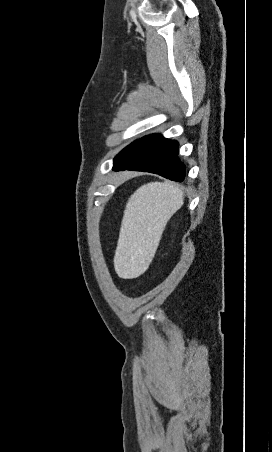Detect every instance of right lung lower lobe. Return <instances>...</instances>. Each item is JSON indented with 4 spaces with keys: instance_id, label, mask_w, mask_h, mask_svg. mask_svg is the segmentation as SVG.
Returning <instances> with one entry per match:
<instances>
[{
    "instance_id": "1",
    "label": "right lung lower lobe",
    "mask_w": 272,
    "mask_h": 452,
    "mask_svg": "<svg viewBox=\"0 0 272 452\" xmlns=\"http://www.w3.org/2000/svg\"><path fill=\"white\" fill-rule=\"evenodd\" d=\"M178 143L161 135L141 138L118 160L114 171L134 170L159 174L172 181L182 182L185 165L179 160Z\"/></svg>"
}]
</instances>
